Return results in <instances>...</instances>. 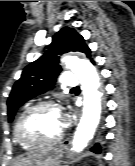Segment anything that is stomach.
<instances>
[{"label":"stomach","mask_w":135,"mask_h":166,"mask_svg":"<svg viewBox=\"0 0 135 166\" xmlns=\"http://www.w3.org/2000/svg\"><path fill=\"white\" fill-rule=\"evenodd\" d=\"M64 151L59 147L45 148L38 153H35L30 158V163L27 166H60V159L63 157Z\"/></svg>","instance_id":"0dacf381"}]
</instances>
